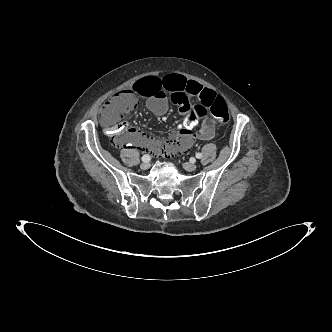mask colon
<instances>
[{
  "label": "colon",
  "instance_id": "colon-1",
  "mask_svg": "<svg viewBox=\"0 0 332 332\" xmlns=\"http://www.w3.org/2000/svg\"><path fill=\"white\" fill-rule=\"evenodd\" d=\"M136 93V92H135ZM137 106V98L134 91H124L113 97L103 108V121L105 126L113 135L112 143L114 146L121 144L122 118L133 111ZM211 114L216 118L220 125H227L230 114L225 101L217 96L211 101ZM209 111L206 106L197 104L191 111L178 121V128L182 132H190L197 128L199 123L207 120Z\"/></svg>",
  "mask_w": 332,
  "mask_h": 332
}]
</instances>
